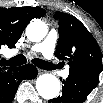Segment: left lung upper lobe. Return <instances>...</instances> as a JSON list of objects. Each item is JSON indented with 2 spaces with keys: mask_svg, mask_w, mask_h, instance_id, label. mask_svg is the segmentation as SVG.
<instances>
[{
  "mask_svg": "<svg viewBox=\"0 0 103 103\" xmlns=\"http://www.w3.org/2000/svg\"><path fill=\"white\" fill-rule=\"evenodd\" d=\"M59 24V39L55 56L67 62L69 73H98L103 70L100 48L86 29L74 16L56 12Z\"/></svg>",
  "mask_w": 103,
  "mask_h": 103,
  "instance_id": "5c2ea615",
  "label": "left lung upper lobe"
}]
</instances>
